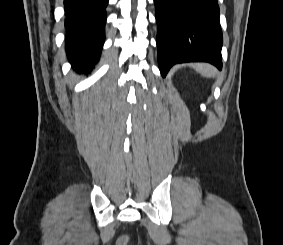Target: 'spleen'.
<instances>
[{"label": "spleen", "instance_id": "spleen-1", "mask_svg": "<svg viewBox=\"0 0 283 245\" xmlns=\"http://www.w3.org/2000/svg\"><path fill=\"white\" fill-rule=\"evenodd\" d=\"M194 69L204 77H215L216 75L215 69L209 64H195Z\"/></svg>", "mask_w": 283, "mask_h": 245}]
</instances>
